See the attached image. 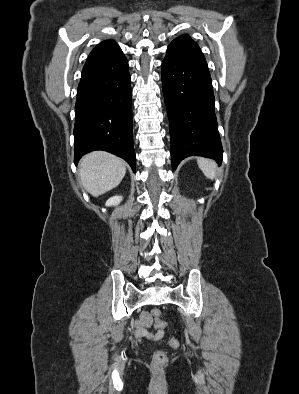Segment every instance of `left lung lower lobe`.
Returning <instances> with one entry per match:
<instances>
[{
	"label": "left lung lower lobe",
	"mask_w": 299,
	"mask_h": 394,
	"mask_svg": "<svg viewBox=\"0 0 299 394\" xmlns=\"http://www.w3.org/2000/svg\"><path fill=\"white\" fill-rule=\"evenodd\" d=\"M162 84L167 108L172 167L188 156L222 162L212 80L200 50L167 48L162 62Z\"/></svg>",
	"instance_id": "left-lung-lower-lobe-1"
}]
</instances>
